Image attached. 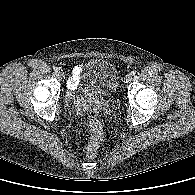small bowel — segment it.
I'll use <instances>...</instances> for the list:
<instances>
[{
  "label": "small bowel",
  "instance_id": "small-bowel-1",
  "mask_svg": "<svg viewBox=\"0 0 195 195\" xmlns=\"http://www.w3.org/2000/svg\"><path fill=\"white\" fill-rule=\"evenodd\" d=\"M82 70H83V67L81 65H77L74 67L72 74L69 77L68 82H67V86L69 89L71 90L76 89Z\"/></svg>",
  "mask_w": 195,
  "mask_h": 195
}]
</instances>
